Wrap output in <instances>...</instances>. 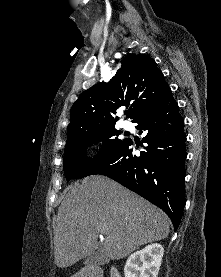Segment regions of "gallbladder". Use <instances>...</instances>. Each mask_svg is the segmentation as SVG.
<instances>
[{
	"label": "gallbladder",
	"instance_id": "obj_1",
	"mask_svg": "<svg viewBox=\"0 0 221 277\" xmlns=\"http://www.w3.org/2000/svg\"><path fill=\"white\" fill-rule=\"evenodd\" d=\"M108 262V258L100 251L94 252L89 255L85 260V265H100Z\"/></svg>",
	"mask_w": 221,
	"mask_h": 277
}]
</instances>
